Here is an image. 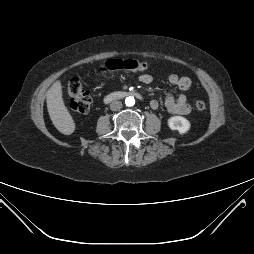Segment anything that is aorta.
Returning a JSON list of instances; mask_svg holds the SVG:
<instances>
[{
    "instance_id": "762f6f07",
    "label": "aorta",
    "mask_w": 254,
    "mask_h": 254,
    "mask_svg": "<svg viewBox=\"0 0 254 254\" xmlns=\"http://www.w3.org/2000/svg\"><path fill=\"white\" fill-rule=\"evenodd\" d=\"M126 106H133L135 104V99L132 96L126 97L125 99Z\"/></svg>"
}]
</instances>
